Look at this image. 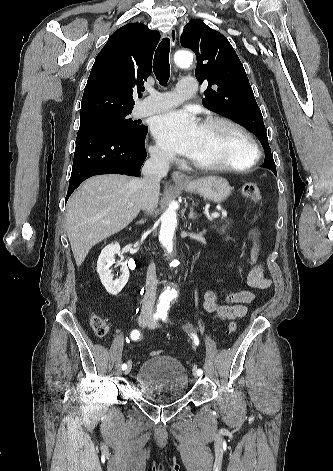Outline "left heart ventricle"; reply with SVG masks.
<instances>
[{
	"label": "left heart ventricle",
	"mask_w": 333,
	"mask_h": 471,
	"mask_svg": "<svg viewBox=\"0 0 333 471\" xmlns=\"http://www.w3.org/2000/svg\"><path fill=\"white\" fill-rule=\"evenodd\" d=\"M250 156L245 139L225 124L200 126L191 158L206 164H242Z\"/></svg>",
	"instance_id": "1"
}]
</instances>
